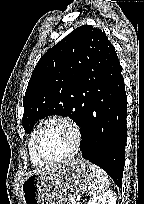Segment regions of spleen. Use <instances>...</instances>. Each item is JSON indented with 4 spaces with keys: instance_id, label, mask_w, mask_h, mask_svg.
<instances>
[{
    "instance_id": "spleen-1",
    "label": "spleen",
    "mask_w": 144,
    "mask_h": 204,
    "mask_svg": "<svg viewBox=\"0 0 144 204\" xmlns=\"http://www.w3.org/2000/svg\"><path fill=\"white\" fill-rule=\"evenodd\" d=\"M92 183L89 188V194L92 198L100 197L109 185L108 175L104 170L96 165H91Z\"/></svg>"
}]
</instances>
